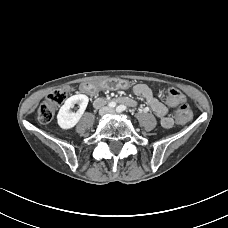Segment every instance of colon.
I'll list each match as a JSON object with an SVG mask.
<instances>
[{
    "instance_id": "colon-1",
    "label": "colon",
    "mask_w": 228,
    "mask_h": 228,
    "mask_svg": "<svg viewBox=\"0 0 228 228\" xmlns=\"http://www.w3.org/2000/svg\"><path fill=\"white\" fill-rule=\"evenodd\" d=\"M69 93V87H60L51 91L37 110L39 122L43 124L49 123L53 119L56 109L66 101ZM168 100L172 105L177 106L175 118L178 124H186L192 119L193 111L186 103V97L183 93L177 89H170Z\"/></svg>"
}]
</instances>
